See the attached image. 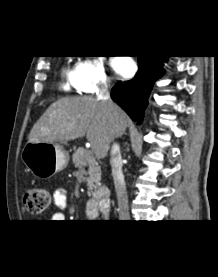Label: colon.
Here are the masks:
<instances>
[{"label": "colon", "instance_id": "obj_1", "mask_svg": "<svg viewBox=\"0 0 218 277\" xmlns=\"http://www.w3.org/2000/svg\"><path fill=\"white\" fill-rule=\"evenodd\" d=\"M22 200L29 213L41 214L50 204V193L41 187L29 188L24 192Z\"/></svg>", "mask_w": 218, "mask_h": 277}]
</instances>
